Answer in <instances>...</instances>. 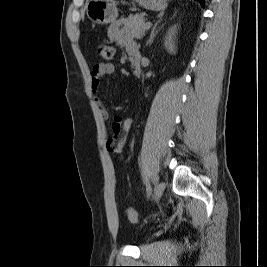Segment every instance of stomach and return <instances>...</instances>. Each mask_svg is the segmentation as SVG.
Here are the masks:
<instances>
[{"mask_svg": "<svg viewBox=\"0 0 267 267\" xmlns=\"http://www.w3.org/2000/svg\"><path fill=\"white\" fill-rule=\"evenodd\" d=\"M147 10L160 11L165 8L164 0H135ZM88 18L99 25L114 22L118 17L117 3L114 0H89L86 4Z\"/></svg>", "mask_w": 267, "mask_h": 267, "instance_id": "1", "label": "stomach"}]
</instances>
